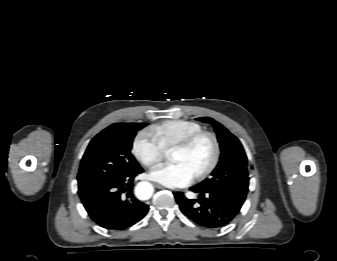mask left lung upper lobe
Wrapping results in <instances>:
<instances>
[{
  "mask_svg": "<svg viewBox=\"0 0 337 261\" xmlns=\"http://www.w3.org/2000/svg\"><path fill=\"white\" fill-rule=\"evenodd\" d=\"M197 120L213 125L220 143L221 156L211 177L195 187L200 191L219 192L241 207L248 192L249 177L247 157L240 141L212 118L202 117Z\"/></svg>",
  "mask_w": 337,
  "mask_h": 261,
  "instance_id": "1",
  "label": "left lung upper lobe"
}]
</instances>
